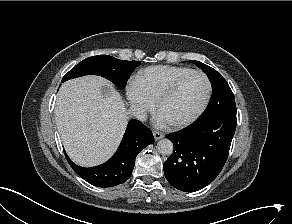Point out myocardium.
I'll list each match as a JSON object with an SVG mask.
<instances>
[{
	"label": "myocardium",
	"mask_w": 292,
	"mask_h": 224,
	"mask_svg": "<svg viewBox=\"0 0 292 224\" xmlns=\"http://www.w3.org/2000/svg\"><path fill=\"white\" fill-rule=\"evenodd\" d=\"M194 76H202L207 83V93H206L204 102L202 103L200 108L196 111V113L192 115L190 118L184 121L168 124L172 129L178 130V129H183L185 127H188L189 125L197 121L202 116V114L206 111L210 103L212 92H213L212 82L210 78L208 77L206 73L202 71H193L191 73H188L182 76L181 78H179L178 80H176L172 85H170L166 90H164L155 101V110L158 113L161 105L165 101L170 99L187 80H189L190 78Z\"/></svg>",
	"instance_id": "1"
}]
</instances>
